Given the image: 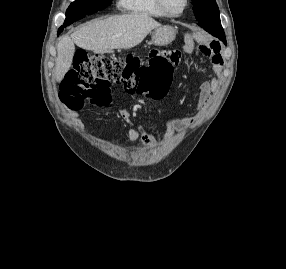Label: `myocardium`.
<instances>
[{
  "label": "myocardium",
  "mask_w": 286,
  "mask_h": 269,
  "mask_svg": "<svg viewBox=\"0 0 286 269\" xmlns=\"http://www.w3.org/2000/svg\"><path fill=\"white\" fill-rule=\"evenodd\" d=\"M157 1V5L158 7L160 8V10L168 17H172V18H177V17H180L182 16L186 9L188 8V5H189V0H184V5H183V8L180 12L178 13H175L173 11H171L168 6H167V3H166V0H156Z\"/></svg>",
  "instance_id": "myocardium-1"
}]
</instances>
